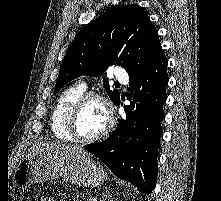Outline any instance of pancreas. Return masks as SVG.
<instances>
[{
	"instance_id": "obj_1",
	"label": "pancreas",
	"mask_w": 221,
	"mask_h": 201,
	"mask_svg": "<svg viewBox=\"0 0 221 201\" xmlns=\"http://www.w3.org/2000/svg\"><path fill=\"white\" fill-rule=\"evenodd\" d=\"M76 199H77V201H82V197H81V194H79V193H76Z\"/></svg>"
}]
</instances>
